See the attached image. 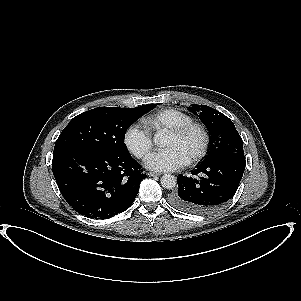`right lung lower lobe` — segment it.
Listing matches in <instances>:
<instances>
[{"instance_id": "1", "label": "right lung lower lobe", "mask_w": 301, "mask_h": 301, "mask_svg": "<svg viewBox=\"0 0 301 301\" xmlns=\"http://www.w3.org/2000/svg\"><path fill=\"white\" fill-rule=\"evenodd\" d=\"M131 155L93 148L53 154L52 171L68 204L89 218L106 219L127 210L146 178Z\"/></svg>"}]
</instances>
